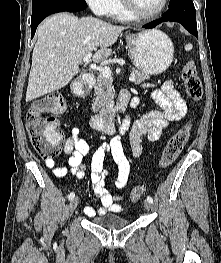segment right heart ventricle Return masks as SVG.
Returning a JSON list of instances; mask_svg holds the SVG:
<instances>
[{"instance_id":"e07e8e85","label":"right heart ventricle","mask_w":221,"mask_h":263,"mask_svg":"<svg viewBox=\"0 0 221 263\" xmlns=\"http://www.w3.org/2000/svg\"><path fill=\"white\" fill-rule=\"evenodd\" d=\"M110 15L113 18L121 21H130L134 19V17L125 10L121 0L115 1Z\"/></svg>"}]
</instances>
